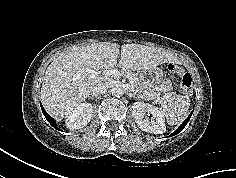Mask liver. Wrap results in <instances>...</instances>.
Wrapping results in <instances>:
<instances>
[{
  "label": "liver",
  "instance_id": "obj_1",
  "mask_svg": "<svg viewBox=\"0 0 236 178\" xmlns=\"http://www.w3.org/2000/svg\"><path fill=\"white\" fill-rule=\"evenodd\" d=\"M168 62H175V58L167 51L140 44H124L121 53L117 43L75 46L47 67L41 101L48 113L60 119L66 118L86 100L93 86L111 83L109 76H93L90 70H110L118 65L122 71H141Z\"/></svg>",
  "mask_w": 236,
  "mask_h": 178
}]
</instances>
